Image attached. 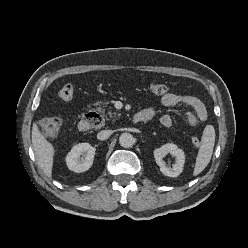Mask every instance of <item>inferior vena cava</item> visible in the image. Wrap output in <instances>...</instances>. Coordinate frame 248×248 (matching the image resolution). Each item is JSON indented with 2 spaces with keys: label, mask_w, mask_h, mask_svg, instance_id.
<instances>
[{
  "label": "inferior vena cava",
  "mask_w": 248,
  "mask_h": 248,
  "mask_svg": "<svg viewBox=\"0 0 248 248\" xmlns=\"http://www.w3.org/2000/svg\"><path fill=\"white\" fill-rule=\"evenodd\" d=\"M112 134L111 130H102L97 134L99 140H106Z\"/></svg>",
  "instance_id": "obj_1"
}]
</instances>
